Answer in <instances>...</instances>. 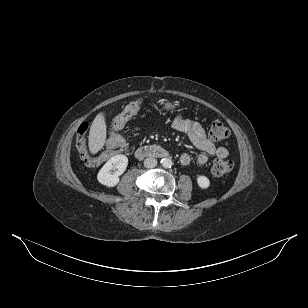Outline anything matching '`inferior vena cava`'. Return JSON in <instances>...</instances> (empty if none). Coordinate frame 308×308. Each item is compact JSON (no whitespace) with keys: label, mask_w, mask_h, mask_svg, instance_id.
Here are the masks:
<instances>
[{"label":"inferior vena cava","mask_w":308,"mask_h":308,"mask_svg":"<svg viewBox=\"0 0 308 308\" xmlns=\"http://www.w3.org/2000/svg\"><path fill=\"white\" fill-rule=\"evenodd\" d=\"M157 165V160L153 157H148L144 160V166L146 168H154Z\"/></svg>","instance_id":"obj_1"}]
</instances>
